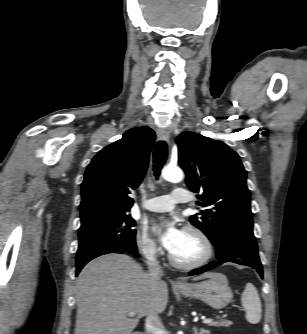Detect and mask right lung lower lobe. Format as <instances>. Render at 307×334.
I'll return each instance as SVG.
<instances>
[{
    "label": "right lung lower lobe",
    "instance_id": "1",
    "mask_svg": "<svg viewBox=\"0 0 307 334\" xmlns=\"http://www.w3.org/2000/svg\"><path fill=\"white\" fill-rule=\"evenodd\" d=\"M108 253H126V254H130V253H137V248L134 247L132 249H121V250H110V251H106V252H103V253H100L90 259H88L87 261H85L84 263L80 264V265H77V269H76V275L79 274L80 270L83 268V266L90 260H92L93 258H96L100 255H104V254H108Z\"/></svg>",
    "mask_w": 307,
    "mask_h": 334
}]
</instances>
